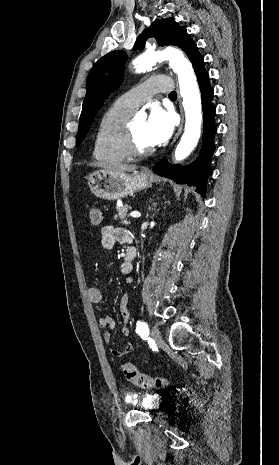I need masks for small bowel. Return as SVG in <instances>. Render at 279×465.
<instances>
[{
    "instance_id": "1",
    "label": "small bowel",
    "mask_w": 279,
    "mask_h": 465,
    "mask_svg": "<svg viewBox=\"0 0 279 465\" xmlns=\"http://www.w3.org/2000/svg\"><path fill=\"white\" fill-rule=\"evenodd\" d=\"M101 244L105 249H112L116 243H123L127 245H131L132 239L128 232L122 228L114 227V226H105L101 230ZM132 270V263L131 262H123L121 265V272L125 275H128ZM88 296L92 303H100L102 300V291L99 287L93 286L88 290ZM121 314L125 320V325L121 328V333L124 336H129L130 328H129V321H130V314L126 307V301H123L120 307ZM99 326L100 328L104 329V341L109 343L111 341V331L115 328L116 322L113 317L111 316H103L99 318ZM134 350V346L131 342L125 344L124 348L117 349L113 348L111 350V354L115 357H122L132 353Z\"/></svg>"
}]
</instances>
